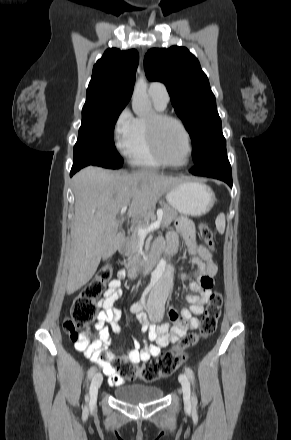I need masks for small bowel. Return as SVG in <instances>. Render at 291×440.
I'll return each instance as SVG.
<instances>
[{
    "label": "small bowel",
    "instance_id": "obj_1",
    "mask_svg": "<svg viewBox=\"0 0 291 440\" xmlns=\"http://www.w3.org/2000/svg\"><path fill=\"white\" fill-rule=\"evenodd\" d=\"M180 235L186 242L190 254L197 260V265L192 270L191 277L193 280L189 283L188 288L191 291H198L200 295L188 293L186 299L190 303V307L177 312L174 309L169 310V315L176 321L169 328L167 325L153 326L149 325L147 316L141 311L143 304H137L139 310L136 312V318L141 323L143 330H148L147 339L141 344L135 340V346L131 350H127L122 361H129L133 364L142 365L152 358L159 356L162 348L177 342L183 337L188 330H195L199 327L197 318L203 310L205 304L210 298V291L206 287V281L217 274L218 267L212 260L209 250L196 240V230L191 221L181 218L177 223V231H170L167 234L166 241L159 239L154 244V250L159 254L161 252L167 255L176 253L180 243ZM125 277L124 271H119L117 277L109 283V287L104 294V298L100 301L102 310L97 316L94 327L99 330V340L93 344L76 341L75 349L82 352L91 361L97 363L108 377L110 385H122L125 378L122 377L115 369L113 362L118 359L115 352L110 350L112 345L111 331L120 334L122 329L119 325L120 311L113 306L114 302L122 296L120 290L122 279ZM109 324V326L107 325ZM90 332V327L87 328ZM105 349L109 353L107 360L100 359V350Z\"/></svg>",
    "mask_w": 291,
    "mask_h": 440
}]
</instances>
